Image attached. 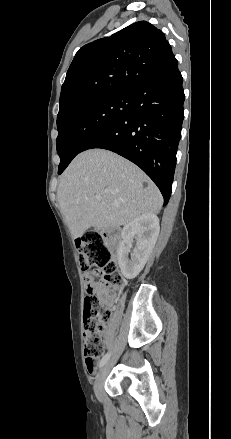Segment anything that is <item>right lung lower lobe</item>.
Masks as SVG:
<instances>
[{
	"label": "right lung lower lobe",
	"instance_id": "right-lung-lower-lobe-1",
	"mask_svg": "<svg viewBox=\"0 0 231 439\" xmlns=\"http://www.w3.org/2000/svg\"><path fill=\"white\" fill-rule=\"evenodd\" d=\"M183 78L176 62L133 93L131 109L103 128L80 152L102 148L138 165L169 201L184 119ZM61 174V173H60Z\"/></svg>",
	"mask_w": 231,
	"mask_h": 439
}]
</instances>
